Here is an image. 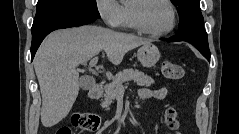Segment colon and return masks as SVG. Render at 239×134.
<instances>
[{"mask_svg": "<svg viewBox=\"0 0 239 134\" xmlns=\"http://www.w3.org/2000/svg\"><path fill=\"white\" fill-rule=\"evenodd\" d=\"M161 73L163 77L168 80H180L184 76L183 67L173 61H165L161 66ZM178 112L176 108H168L165 114V121L167 126L175 130L179 127ZM73 126L87 131H96L100 126V119L91 114H76L73 118ZM56 134H71L69 127L60 128Z\"/></svg>", "mask_w": 239, "mask_h": 134, "instance_id": "1", "label": "colon"}]
</instances>
